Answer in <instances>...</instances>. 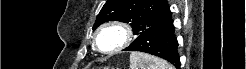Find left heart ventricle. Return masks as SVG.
I'll use <instances>...</instances> for the list:
<instances>
[{
  "label": "left heart ventricle",
  "mask_w": 246,
  "mask_h": 69,
  "mask_svg": "<svg viewBox=\"0 0 246 69\" xmlns=\"http://www.w3.org/2000/svg\"><path fill=\"white\" fill-rule=\"evenodd\" d=\"M121 34L113 29H108L102 32L98 37V42L101 48H105V44H113L121 40Z\"/></svg>",
  "instance_id": "b2bd125f"
}]
</instances>
